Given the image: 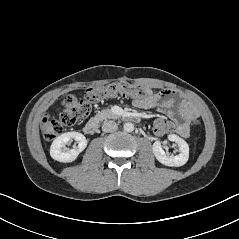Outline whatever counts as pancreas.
I'll list each match as a JSON object with an SVG mask.
<instances>
[{
    "label": "pancreas",
    "instance_id": "obj_1",
    "mask_svg": "<svg viewBox=\"0 0 239 239\" xmlns=\"http://www.w3.org/2000/svg\"><path fill=\"white\" fill-rule=\"evenodd\" d=\"M115 117L116 116L109 109H103L96 114L95 119H97L98 121H103Z\"/></svg>",
    "mask_w": 239,
    "mask_h": 239
}]
</instances>
